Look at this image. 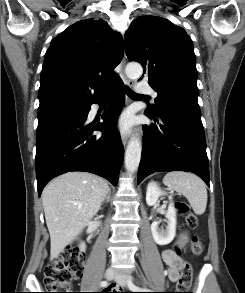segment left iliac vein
<instances>
[{
    "label": "left iliac vein",
    "mask_w": 245,
    "mask_h": 293,
    "mask_svg": "<svg viewBox=\"0 0 245 293\" xmlns=\"http://www.w3.org/2000/svg\"><path fill=\"white\" fill-rule=\"evenodd\" d=\"M129 279H131V275L123 274V273H117L116 276L114 277V280L120 286H127V281Z\"/></svg>",
    "instance_id": "1"
}]
</instances>
